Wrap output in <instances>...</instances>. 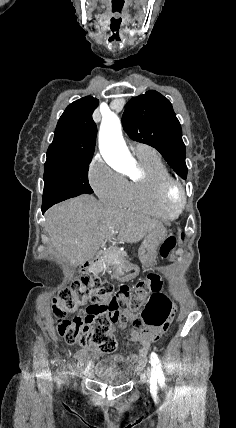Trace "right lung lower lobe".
Here are the masks:
<instances>
[{"label": "right lung lower lobe", "mask_w": 236, "mask_h": 428, "mask_svg": "<svg viewBox=\"0 0 236 428\" xmlns=\"http://www.w3.org/2000/svg\"><path fill=\"white\" fill-rule=\"evenodd\" d=\"M52 205L48 204V205H42V214H44V212L51 207Z\"/></svg>", "instance_id": "1"}]
</instances>
